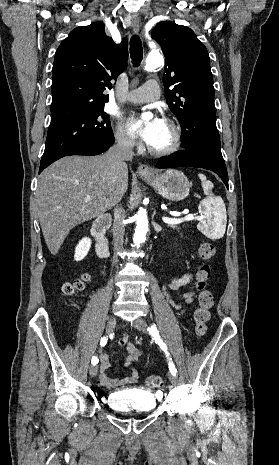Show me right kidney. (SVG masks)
<instances>
[{
	"label": "right kidney",
	"mask_w": 279,
	"mask_h": 465,
	"mask_svg": "<svg viewBox=\"0 0 279 465\" xmlns=\"http://www.w3.org/2000/svg\"><path fill=\"white\" fill-rule=\"evenodd\" d=\"M91 244L92 242L90 238L85 237L82 240H80L75 249L74 259L76 261H81L82 259H84L91 248Z\"/></svg>",
	"instance_id": "obj_1"
}]
</instances>
